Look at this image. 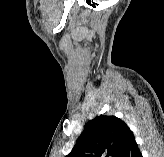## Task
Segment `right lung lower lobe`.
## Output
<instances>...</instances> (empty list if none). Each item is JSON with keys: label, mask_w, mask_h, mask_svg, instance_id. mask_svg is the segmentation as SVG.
<instances>
[{"label": "right lung lower lobe", "mask_w": 164, "mask_h": 157, "mask_svg": "<svg viewBox=\"0 0 164 157\" xmlns=\"http://www.w3.org/2000/svg\"><path fill=\"white\" fill-rule=\"evenodd\" d=\"M121 157H142L135 140L130 143Z\"/></svg>", "instance_id": "98d812e1"}]
</instances>
